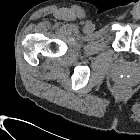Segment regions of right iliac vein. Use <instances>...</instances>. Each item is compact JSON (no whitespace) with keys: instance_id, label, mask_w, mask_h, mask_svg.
<instances>
[{"instance_id":"63e3f726","label":"right iliac vein","mask_w":140,"mask_h":140,"mask_svg":"<svg viewBox=\"0 0 140 140\" xmlns=\"http://www.w3.org/2000/svg\"><path fill=\"white\" fill-rule=\"evenodd\" d=\"M86 30H87V31L93 30V24H92V23H88V24L86 25Z\"/></svg>"}]
</instances>
